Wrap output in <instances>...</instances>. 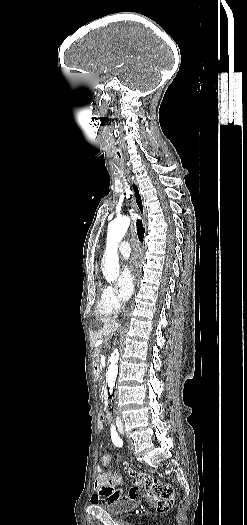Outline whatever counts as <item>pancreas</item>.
Masks as SVG:
<instances>
[{"label":"pancreas","mask_w":247,"mask_h":525,"mask_svg":"<svg viewBox=\"0 0 247 525\" xmlns=\"http://www.w3.org/2000/svg\"><path fill=\"white\" fill-rule=\"evenodd\" d=\"M94 361H98L100 359V356L98 355V352H95V355L93 356Z\"/></svg>","instance_id":"pancreas-1"}]
</instances>
